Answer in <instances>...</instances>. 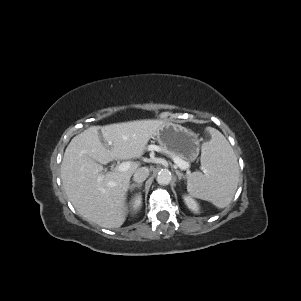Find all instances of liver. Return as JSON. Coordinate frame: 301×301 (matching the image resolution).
Segmentation results:
<instances>
[{"instance_id": "6515ba94", "label": "liver", "mask_w": 301, "mask_h": 301, "mask_svg": "<svg viewBox=\"0 0 301 301\" xmlns=\"http://www.w3.org/2000/svg\"><path fill=\"white\" fill-rule=\"evenodd\" d=\"M165 122L137 120L90 127L75 136L67 146L61 164L64 191L76 211L86 220L104 228H119L126 220V195L130 178L138 169L131 163L124 172L103 173L104 164L112 160L141 157L148 141Z\"/></svg>"}]
</instances>
